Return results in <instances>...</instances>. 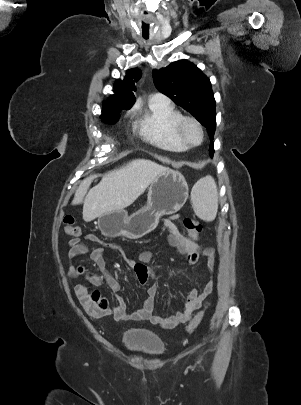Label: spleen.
Masks as SVG:
<instances>
[{
	"label": "spleen",
	"mask_w": 301,
	"mask_h": 405,
	"mask_svg": "<svg viewBox=\"0 0 301 405\" xmlns=\"http://www.w3.org/2000/svg\"><path fill=\"white\" fill-rule=\"evenodd\" d=\"M191 201L196 215L205 221L215 219L218 209V192L214 179L206 176L192 188Z\"/></svg>",
	"instance_id": "3e777b00"
}]
</instances>
